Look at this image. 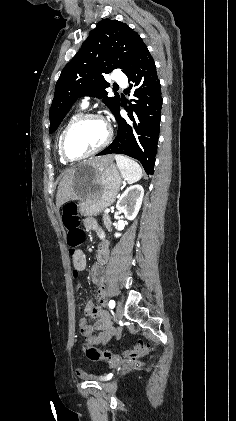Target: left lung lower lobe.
Returning <instances> with one entry per match:
<instances>
[{
    "label": "left lung lower lobe",
    "instance_id": "1",
    "mask_svg": "<svg viewBox=\"0 0 236 421\" xmlns=\"http://www.w3.org/2000/svg\"><path fill=\"white\" fill-rule=\"evenodd\" d=\"M135 87V99L129 103V119L120 115L119 108L114 116L118 123L117 136L110 146L98 153L125 154L141 162L147 174H153L160 132L162 108L161 86L155 62L145 44L139 46L131 66L125 72Z\"/></svg>",
    "mask_w": 236,
    "mask_h": 421
}]
</instances>
